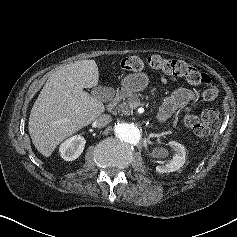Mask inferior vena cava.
Returning <instances> with one entry per match:
<instances>
[{"label":"inferior vena cava","mask_w":237,"mask_h":237,"mask_svg":"<svg viewBox=\"0 0 237 237\" xmlns=\"http://www.w3.org/2000/svg\"><path fill=\"white\" fill-rule=\"evenodd\" d=\"M112 121V117L109 114H102L95 120V126L102 128L105 127L107 124H109Z\"/></svg>","instance_id":"1"}]
</instances>
